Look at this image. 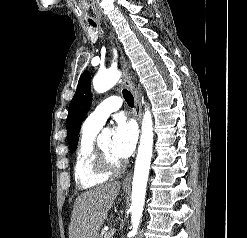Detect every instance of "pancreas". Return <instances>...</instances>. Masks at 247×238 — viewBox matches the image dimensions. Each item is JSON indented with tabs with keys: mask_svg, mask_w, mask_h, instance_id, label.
<instances>
[{
	"mask_svg": "<svg viewBox=\"0 0 247 238\" xmlns=\"http://www.w3.org/2000/svg\"><path fill=\"white\" fill-rule=\"evenodd\" d=\"M100 238H112V233L110 231H102Z\"/></svg>",
	"mask_w": 247,
	"mask_h": 238,
	"instance_id": "obj_1",
	"label": "pancreas"
}]
</instances>
